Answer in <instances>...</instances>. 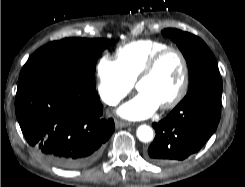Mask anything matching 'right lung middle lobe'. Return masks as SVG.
<instances>
[{
  "label": "right lung middle lobe",
  "mask_w": 245,
  "mask_h": 187,
  "mask_svg": "<svg viewBox=\"0 0 245 187\" xmlns=\"http://www.w3.org/2000/svg\"><path fill=\"white\" fill-rule=\"evenodd\" d=\"M114 43V40L85 38L50 42L28 59L19 82L41 75H55L96 88V61L102 51Z\"/></svg>",
  "instance_id": "right-lung-middle-lobe-1"
}]
</instances>
